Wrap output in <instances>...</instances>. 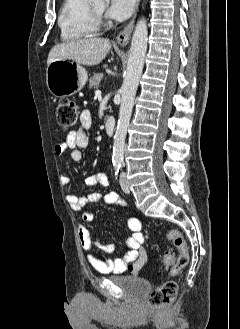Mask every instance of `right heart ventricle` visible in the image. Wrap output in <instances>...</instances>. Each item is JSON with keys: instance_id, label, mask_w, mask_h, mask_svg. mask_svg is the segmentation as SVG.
I'll list each match as a JSON object with an SVG mask.
<instances>
[{"instance_id": "1", "label": "right heart ventricle", "mask_w": 240, "mask_h": 329, "mask_svg": "<svg viewBox=\"0 0 240 329\" xmlns=\"http://www.w3.org/2000/svg\"><path fill=\"white\" fill-rule=\"evenodd\" d=\"M58 26L62 40L66 42L80 41L94 35L98 25L89 0H64Z\"/></svg>"}]
</instances>
